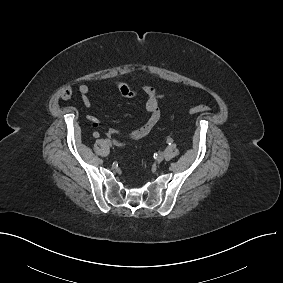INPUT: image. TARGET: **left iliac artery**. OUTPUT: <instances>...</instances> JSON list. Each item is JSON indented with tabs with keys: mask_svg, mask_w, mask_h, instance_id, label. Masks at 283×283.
Listing matches in <instances>:
<instances>
[{
	"mask_svg": "<svg viewBox=\"0 0 283 283\" xmlns=\"http://www.w3.org/2000/svg\"><path fill=\"white\" fill-rule=\"evenodd\" d=\"M167 143L168 144H172L173 143V139H171V138L167 139Z\"/></svg>",
	"mask_w": 283,
	"mask_h": 283,
	"instance_id": "44dca946",
	"label": "left iliac artery"
}]
</instances>
